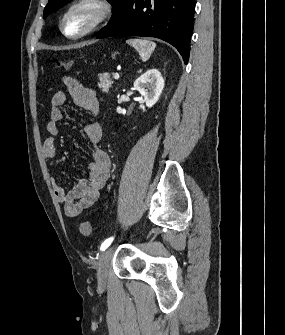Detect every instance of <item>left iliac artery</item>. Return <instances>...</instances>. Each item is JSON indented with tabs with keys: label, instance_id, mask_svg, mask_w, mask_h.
Here are the masks:
<instances>
[{
	"label": "left iliac artery",
	"instance_id": "obj_1",
	"mask_svg": "<svg viewBox=\"0 0 285 335\" xmlns=\"http://www.w3.org/2000/svg\"><path fill=\"white\" fill-rule=\"evenodd\" d=\"M113 239H114L113 237H110V238L106 239V240L101 244L100 250H101V251H105V250L110 246V244L112 243Z\"/></svg>",
	"mask_w": 285,
	"mask_h": 335
}]
</instances>
